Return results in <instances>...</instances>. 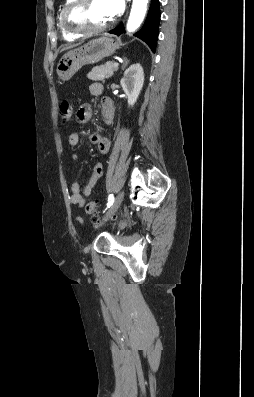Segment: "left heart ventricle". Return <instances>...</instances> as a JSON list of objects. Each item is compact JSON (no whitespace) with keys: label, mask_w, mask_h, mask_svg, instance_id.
Listing matches in <instances>:
<instances>
[{"label":"left heart ventricle","mask_w":254,"mask_h":397,"mask_svg":"<svg viewBox=\"0 0 254 397\" xmlns=\"http://www.w3.org/2000/svg\"><path fill=\"white\" fill-rule=\"evenodd\" d=\"M75 19L91 27L102 26L111 20L102 0H90L83 9L75 14Z\"/></svg>","instance_id":"obj_1"}]
</instances>
